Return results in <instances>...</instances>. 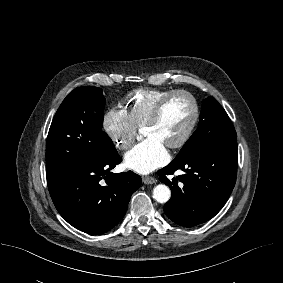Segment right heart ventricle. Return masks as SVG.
Returning <instances> with one entry per match:
<instances>
[{
    "mask_svg": "<svg viewBox=\"0 0 283 283\" xmlns=\"http://www.w3.org/2000/svg\"><path fill=\"white\" fill-rule=\"evenodd\" d=\"M171 91L159 88L133 90L122 100L124 112L136 128H141L157 102Z\"/></svg>",
    "mask_w": 283,
    "mask_h": 283,
    "instance_id": "obj_1",
    "label": "right heart ventricle"
}]
</instances>
